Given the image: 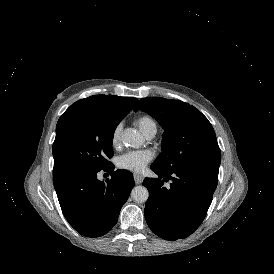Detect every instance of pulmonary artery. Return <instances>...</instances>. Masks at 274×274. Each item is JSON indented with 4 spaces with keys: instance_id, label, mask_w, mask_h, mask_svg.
<instances>
[{
    "instance_id": "1",
    "label": "pulmonary artery",
    "mask_w": 274,
    "mask_h": 274,
    "mask_svg": "<svg viewBox=\"0 0 274 274\" xmlns=\"http://www.w3.org/2000/svg\"><path fill=\"white\" fill-rule=\"evenodd\" d=\"M157 133V127L155 124L150 125L144 132L143 135L147 140H152Z\"/></svg>"
}]
</instances>
